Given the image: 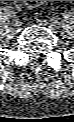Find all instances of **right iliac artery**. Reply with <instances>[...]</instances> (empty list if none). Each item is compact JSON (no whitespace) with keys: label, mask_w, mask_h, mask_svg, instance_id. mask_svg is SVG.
<instances>
[{"label":"right iliac artery","mask_w":74,"mask_h":122,"mask_svg":"<svg viewBox=\"0 0 74 122\" xmlns=\"http://www.w3.org/2000/svg\"><path fill=\"white\" fill-rule=\"evenodd\" d=\"M4 10V12L6 13V14H8V15H14L15 14V10H14V8H12V7H6V8H4L3 9Z\"/></svg>","instance_id":"1"}]
</instances>
